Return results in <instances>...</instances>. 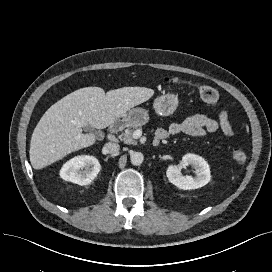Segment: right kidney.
<instances>
[{
  "label": "right kidney",
  "instance_id": "right-kidney-1",
  "mask_svg": "<svg viewBox=\"0 0 272 272\" xmlns=\"http://www.w3.org/2000/svg\"><path fill=\"white\" fill-rule=\"evenodd\" d=\"M101 165L97 158L81 155L67 161L60 170V177L78 185H88L98 175Z\"/></svg>",
  "mask_w": 272,
  "mask_h": 272
}]
</instances>
